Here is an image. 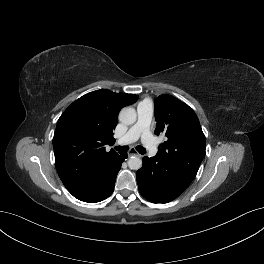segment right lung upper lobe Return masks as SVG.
<instances>
[{
    "label": "right lung upper lobe",
    "mask_w": 264,
    "mask_h": 264,
    "mask_svg": "<svg viewBox=\"0 0 264 264\" xmlns=\"http://www.w3.org/2000/svg\"><path fill=\"white\" fill-rule=\"evenodd\" d=\"M137 95L97 90L74 101L59 118L53 138L55 165L60 179L77 199L96 198L107 184V174L119 155L113 145V129L119 111Z\"/></svg>",
    "instance_id": "right-lung-upper-lobe-1"
}]
</instances>
